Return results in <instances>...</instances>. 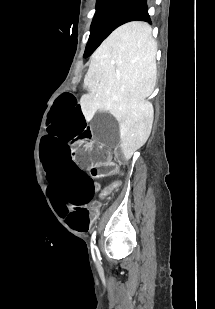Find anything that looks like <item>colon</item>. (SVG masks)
Listing matches in <instances>:
<instances>
[{
    "label": "colon",
    "instance_id": "5ec220e1",
    "mask_svg": "<svg viewBox=\"0 0 215 309\" xmlns=\"http://www.w3.org/2000/svg\"><path fill=\"white\" fill-rule=\"evenodd\" d=\"M101 157L104 156H97L94 157V159H100ZM94 165L96 166L95 170L100 172L101 174H108L112 171L111 162L108 161L106 157H104L102 160L97 161ZM119 185V181L113 182L108 188L102 190V192L100 193V198H105L112 190H115Z\"/></svg>",
    "mask_w": 215,
    "mask_h": 309
}]
</instances>
